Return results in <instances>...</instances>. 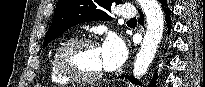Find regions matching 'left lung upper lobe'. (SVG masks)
Here are the masks:
<instances>
[{
    "label": "left lung upper lobe",
    "instance_id": "left-lung-upper-lobe-1",
    "mask_svg": "<svg viewBox=\"0 0 205 87\" xmlns=\"http://www.w3.org/2000/svg\"><path fill=\"white\" fill-rule=\"evenodd\" d=\"M113 2L121 0H58L52 24L45 36L43 47L67 29L81 22L112 20L108 15Z\"/></svg>",
    "mask_w": 205,
    "mask_h": 87
}]
</instances>
